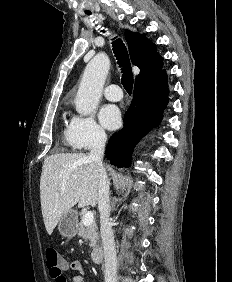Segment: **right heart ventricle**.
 <instances>
[{
	"mask_svg": "<svg viewBox=\"0 0 232 282\" xmlns=\"http://www.w3.org/2000/svg\"><path fill=\"white\" fill-rule=\"evenodd\" d=\"M63 141L66 145L72 146L70 135H69V126L63 130Z\"/></svg>",
	"mask_w": 232,
	"mask_h": 282,
	"instance_id": "e07e8e85",
	"label": "right heart ventricle"
}]
</instances>
